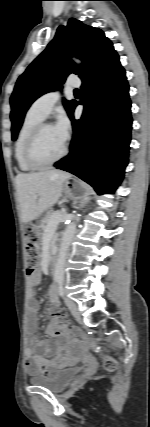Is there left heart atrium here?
Returning a JSON list of instances; mask_svg holds the SVG:
<instances>
[{
    "label": "left heart atrium",
    "mask_w": 150,
    "mask_h": 427,
    "mask_svg": "<svg viewBox=\"0 0 150 427\" xmlns=\"http://www.w3.org/2000/svg\"><path fill=\"white\" fill-rule=\"evenodd\" d=\"M55 127L57 128V130L59 131V133L61 134L63 139L65 141H67L69 138V135H70V130H71V125H70L69 119L65 115H63L59 119V121Z\"/></svg>",
    "instance_id": "left-heart-atrium-1"
}]
</instances>
